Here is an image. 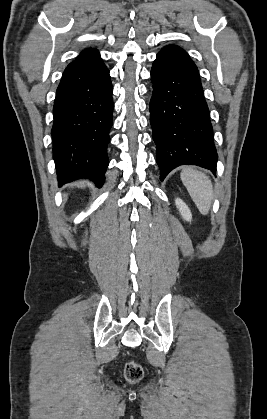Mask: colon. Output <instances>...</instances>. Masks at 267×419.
Masks as SVG:
<instances>
[{"label":"colon","instance_id":"obj_1","mask_svg":"<svg viewBox=\"0 0 267 419\" xmlns=\"http://www.w3.org/2000/svg\"><path fill=\"white\" fill-rule=\"evenodd\" d=\"M143 377V369L136 362H129L125 366V378L131 383L139 382Z\"/></svg>","mask_w":267,"mask_h":419}]
</instances>
